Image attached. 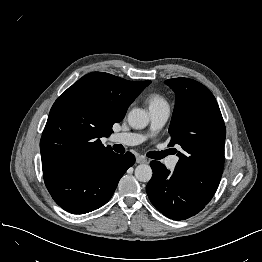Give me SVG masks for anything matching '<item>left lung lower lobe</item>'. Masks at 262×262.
<instances>
[{"instance_id":"0a47b994","label":"left lung lower lobe","mask_w":262,"mask_h":262,"mask_svg":"<svg viewBox=\"0 0 262 262\" xmlns=\"http://www.w3.org/2000/svg\"><path fill=\"white\" fill-rule=\"evenodd\" d=\"M153 176L146 192L153 206L166 217L185 220L199 213L206 205L197 194L159 161H151Z\"/></svg>"}]
</instances>
